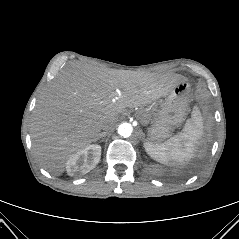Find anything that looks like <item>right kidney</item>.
<instances>
[{
    "mask_svg": "<svg viewBox=\"0 0 239 239\" xmlns=\"http://www.w3.org/2000/svg\"><path fill=\"white\" fill-rule=\"evenodd\" d=\"M101 158V146L92 144L72 154L67 163L66 170L69 176H78L88 173L96 167Z\"/></svg>",
    "mask_w": 239,
    "mask_h": 239,
    "instance_id": "1",
    "label": "right kidney"
}]
</instances>
